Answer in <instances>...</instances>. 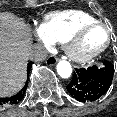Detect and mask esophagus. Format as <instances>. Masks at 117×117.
<instances>
[{
  "label": "esophagus",
  "mask_w": 117,
  "mask_h": 117,
  "mask_svg": "<svg viewBox=\"0 0 117 117\" xmlns=\"http://www.w3.org/2000/svg\"><path fill=\"white\" fill-rule=\"evenodd\" d=\"M57 61H58V58L57 57H55V56H49L47 58V60H46V63L48 65H50V66H53V65H55L57 63Z\"/></svg>",
  "instance_id": "34e87169"
}]
</instances>
